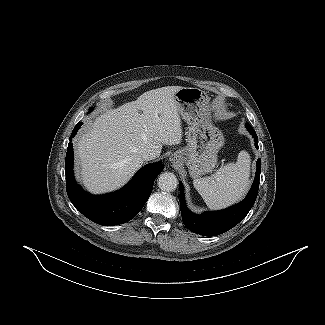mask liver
<instances>
[{
    "instance_id": "obj_1",
    "label": "liver",
    "mask_w": 325,
    "mask_h": 325,
    "mask_svg": "<svg viewBox=\"0 0 325 325\" xmlns=\"http://www.w3.org/2000/svg\"><path fill=\"white\" fill-rule=\"evenodd\" d=\"M181 86L143 93L136 101L106 109L76 143L77 168L84 186L105 193L125 185L141 168V152L178 145L182 127L175 94Z\"/></svg>"
}]
</instances>
